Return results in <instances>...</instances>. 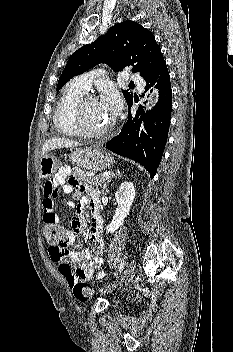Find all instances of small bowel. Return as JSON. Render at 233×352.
Returning a JSON list of instances; mask_svg holds the SVG:
<instances>
[{
    "mask_svg": "<svg viewBox=\"0 0 233 352\" xmlns=\"http://www.w3.org/2000/svg\"><path fill=\"white\" fill-rule=\"evenodd\" d=\"M66 181H68L66 183ZM76 192L78 205L71 215V228L60 226V219L54 211V199L60 194ZM43 222L62 228L65 236L63 246H50L48 253L53 262L58 265L60 273L65 277L72 288L79 281L90 279L95 271L97 278L105 276L102 271L104 263L105 241L102 235L103 220L97 212V196L95 191L79 182L68 166H62L55 176L46 180L43 189ZM90 204L92 219L89 231L90 248L80 251H68L66 248L73 244L75 238L86 228V221L82 215L81 207ZM74 207L72 203L68 204Z\"/></svg>",
    "mask_w": 233,
    "mask_h": 352,
    "instance_id": "1",
    "label": "small bowel"
}]
</instances>
